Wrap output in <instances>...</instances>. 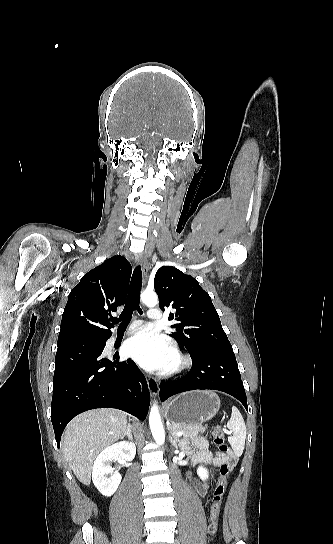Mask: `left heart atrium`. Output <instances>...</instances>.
<instances>
[{"label": "left heart atrium", "mask_w": 333, "mask_h": 544, "mask_svg": "<svg viewBox=\"0 0 333 544\" xmlns=\"http://www.w3.org/2000/svg\"><path fill=\"white\" fill-rule=\"evenodd\" d=\"M124 352L147 370L166 369L172 356L168 342L149 331H141L124 344Z\"/></svg>", "instance_id": "39dd6f15"}]
</instances>
